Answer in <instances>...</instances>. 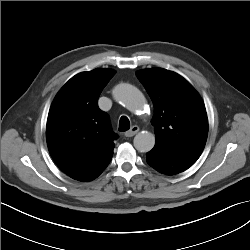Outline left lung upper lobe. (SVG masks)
Returning a JSON list of instances; mask_svg holds the SVG:
<instances>
[{
	"label": "left lung upper lobe",
	"mask_w": 250,
	"mask_h": 250,
	"mask_svg": "<svg viewBox=\"0 0 250 250\" xmlns=\"http://www.w3.org/2000/svg\"><path fill=\"white\" fill-rule=\"evenodd\" d=\"M154 105L153 149L200 156L207 140L208 119L196 90L179 74L162 69L136 72Z\"/></svg>",
	"instance_id": "obj_1"
}]
</instances>
